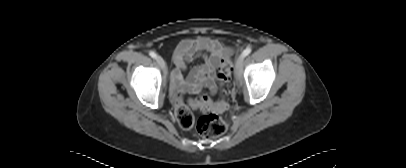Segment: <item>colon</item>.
Listing matches in <instances>:
<instances>
[{"instance_id":"5ec220e1","label":"colon","mask_w":406,"mask_h":168,"mask_svg":"<svg viewBox=\"0 0 406 168\" xmlns=\"http://www.w3.org/2000/svg\"><path fill=\"white\" fill-rule=\"evenodd\" d=\"M231 73L232 62L229 59L222 60L217 72L222 98L216 103L203 100L202 98L185 102L179 94L175 95V116L181 128L191 129L196 124L197 133L204 139L218 137L226 132L228 127L226 119L214 113H204L195 121L193 111L197 109L215 112L226 110L228 103L224 97L228 92L231 82Z\"/></svg>"}]
</instances>
